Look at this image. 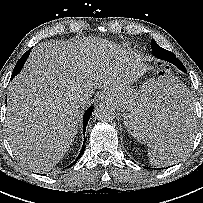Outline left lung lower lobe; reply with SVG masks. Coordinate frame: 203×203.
I'll list each match as a JSON object with an SVG mask.
<instances>
[{"label": "left lung lower lobe", "instance_id": "1", "mask_svg": "<svg viewBox=\"0 0 203 203\" xmlns=\"http://www.w3.org/2000/svg\"><path fill=\"white\" fill-rule=\"evenodd\" d=\"M153 55L155 57H157L158 59L165 60V61H168V62L176 65L180 70L186 72V69H185V67H183L182 63L170 51L165 50L161 47H158L157 49H155L153 51ZM187 135H192V133H190V131H189V134H187ZM186 136H180L179 138H177V140H179V142L183 143V140ZM189 137H192V136H189ZM179 147H181V146H179Z\"/></svg>", "mask_w": 203, "mask_h": 203}]
</instances>
